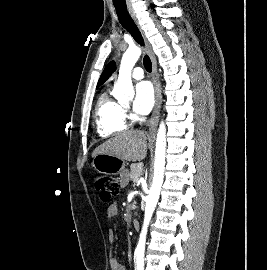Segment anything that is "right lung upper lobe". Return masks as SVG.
<instances>
[{
  "label": "right lung upper lobe",
  "mask_w": 267,
  "mask_h": 270,
  "mask_svg": "<svg viewBox=\"0 0 267 270\" xmlns=\"http://www.w3.org/2000/svg\"><path fill=\"white\" fill-rule=\"evenodd\" d=\"M116 70V64L114 61H111L104 69L99 81H98V84H97V87H99L100 85H102L108 78L109 76Z\"/></svg>",
  "instance_id": "cb5924a9"
}]
</instances>
